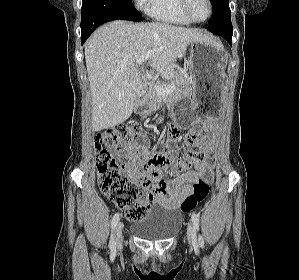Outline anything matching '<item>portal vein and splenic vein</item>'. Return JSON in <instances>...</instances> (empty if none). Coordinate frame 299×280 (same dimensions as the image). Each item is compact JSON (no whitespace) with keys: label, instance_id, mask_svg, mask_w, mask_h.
<instances>
[{"label":"portal vein and splenic vein","instance_id":"obj_1","mask_svg":"<svg viewBox=\"0 0 299 280\" xmlns=\"http://www.w3.org/2000/svg\"><path fill=\"white\" fill-rule=\"evenodd\" d=\"M153 54V51H147L144 54H142L136 61L137 65L142 64L143 62H145L146 60L150 59L151 56ZM146 77L150 80L152 79V76L150 74H146ZM154 89L156 90V92L159 95H166L169 94L170 92H172L175 89V85L171 84L165 87H161L159 84L154 83L153 84Z\"/></svg>","mask_w":299,"mask_h":280}]
</instances>
